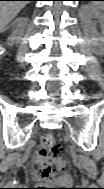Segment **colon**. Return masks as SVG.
Masks as SVG:
<instances>
[{"label": "colon", "instance_id": "5ec220e1", "mask_svg": "<svg viewBox=\"0 0 104 189\" xmlns=\"http://www.w3.org/2000/svg\"><path fill=\"white\" fill-rule=\"evenodd\" d=\"M58 148L52 135L42 136L36 150V166L43 178L53 177L63 169L65 162L56 156Z\"/></svg>", "mask_w": 104, "mask_h": 189}]
</instances>
